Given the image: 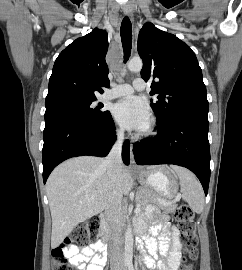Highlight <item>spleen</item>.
<instances>
[{
	"mask_svg": "<svg viewBox=\"0 0 242 270\" xmlns=\"http://www.w3.org/2000/svg\"><path fill=\"white\" fill-rule=\"evenodd\" d=\"M176 172L181 187L183 199L196 213H201L204 208V192L197 178L187 169L172 166Z\"/></svg>",
	"mask_w": 242,
	"mask_h": 270,
	"instance_id": "1",
	"label": "spleen"
}]
</instances>
